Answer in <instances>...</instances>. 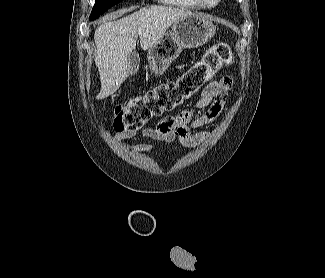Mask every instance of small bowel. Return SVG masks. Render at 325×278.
<instances>
[{"label":"small bowel","instance_id":"1","mask_svg":"<svg viewBox=\"0 0 325 278\" xmlns=\"http://www.w3.org/2000/svg\"><path fill=\"white\" fill-rule=\"evenodd\" d=\"M233 84L232 77L212 81L202 90L193 109L166 117L151 128L120 132L117 134V138L128 139L141 135L166 144L177 141L184 148L197 147L205 142L210 133L207 131L194 133L193 130L208 125L217 119L224 109L229 90ZM201 110L204 111L199 115L198 113ZM130 150L134 153H149L153 150V146L140 143L130 146Z\"/></svg>","mask_w":325,"mask_h":278}]
</instances>
